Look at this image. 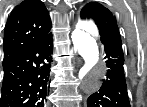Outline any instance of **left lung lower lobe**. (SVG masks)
Here are the masks:
<instances>
[{
    "label": "left lung lower lobe",
    "instance_id": "1",
    "mask_svg": "<svg viewBox=\"0 0 147 107\" xmlns=\"http://www.w3.org/2000/svg\"><path fill=\"white\" fill-rule=\"evenodd\" d=\"M100 39L109 70L100 89L87 99V107H130L120 34L114 32Z\"/></svg>",
    "mask_w": 147,
    "mask_h": 107
}]
</instances>
